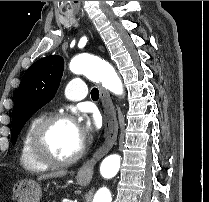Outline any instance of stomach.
<instances>
[{"label": "stomach", "instance_id": "1", "mask_svg": "<svg viewBox=\"0 0 209 202\" xmlns=\"http://www.w3.org/2000/svg\"><path fill=\"white\" fill-rule=\"evenodd\" d=\"M87 179L78 178V183L86 185ZM13 196L17 202H39L42 190L39 183L33 180L18 181L13 187Z\"/></svg>", "mask_w": 209, "mask_h": 202}]
</instances>
